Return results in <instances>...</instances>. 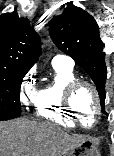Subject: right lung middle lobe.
Masks as SVG:
<instances>
[{
  "mask_svg": "<svg viewBox=\"0 0 114 156\" xmlns=\"http://www.w3.org/2000/svg\"><path fill=\"white\" fill-rule=\"evenodd\" d=\"M27 70L0 68V120L21 115L20 86Z\"/></svg>",
  "mask_w": 114,
  "mask_h": 156,
  "instance_id": "right-lung-middle-lobe-1",
  "label": "right lung middle lobe"
}]
</instances>
